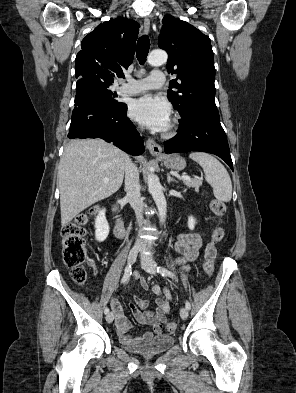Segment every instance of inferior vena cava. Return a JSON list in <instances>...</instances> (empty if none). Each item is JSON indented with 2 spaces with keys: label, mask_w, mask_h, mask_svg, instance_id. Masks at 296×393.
Returning <instances> with one entry per match:
<instances>
[{
  "label": "inferior vena cava",
  "mask_w": 296,
  "mask_h": 393,
  "mask_svg": "<svg viewBox=\"0 0 296 393\" xmlns=\"http://www.w3.org/2000/svg\"><path fill=\"white\" fill-rule=\"evenodd\" d=\"M125 171V191L126 197L129 200L131 207L134 209L139 226L143 224V207L144 203L140 194L139 172L129 158L127 157L124 163ZM136 247H142L143 241L136 240Z\"/></svg>",
  "instance_id": "obj_1"
}]
</instances>
